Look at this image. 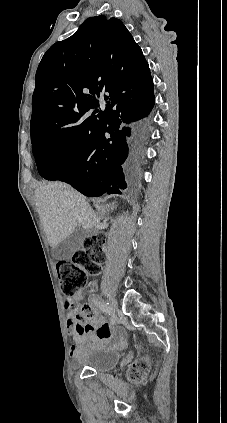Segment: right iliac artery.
I'll use <instances>...</instances> for the list:
<instances>
[{
    "label": "right iliac artery",
    "mask_w": 227,
    "mask_h": 423,
    "mask_svg": "<svg viewBox=\"0 0 227 423\" xmlns=\"http://www.w3.org/2000/svg\"><path fill=\"white\" fill-rule=\"evenodd\" d=\"M92 303H93V305H95V306H97V307H99V309L101 310V311H103V312H106V313H108V315H109V322H110V326L111 325H115L117 322H118V319H117V315H116V313L115 312H113V310H111L109 307H108V303H101V302H98V301H96V300H94L93 298H92Z\"/></svg>",
    "instance_id": "1"
}]
</instances>
